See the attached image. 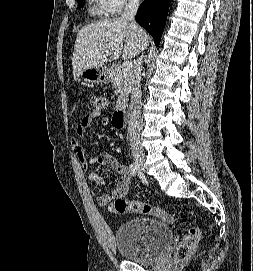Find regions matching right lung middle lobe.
<instances>
[{
  "mask_svg": "<svg viewBox=\"0 0 253 271\" xmlns=\"http://www.w3.org/2000/svg\"><path fill=\"white\" fill-rule=\"evenodd\" d=\"M78 1V7H83V0H77Z\"/></svg>",
  "mask_w": 253,
  "mask_h": 271,
  "instance_id": "1",
  "label": "right lung middle lobe"
}]
</instances>
